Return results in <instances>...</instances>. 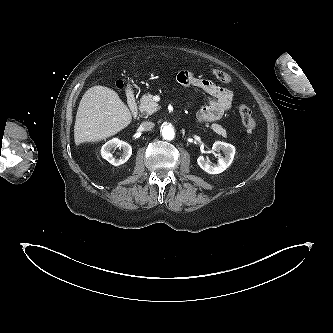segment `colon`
Listing matches in <instances>:
<instances>
[{
  "mask_svg": "<svg viewBox=\"0 0 333 333\" xmlns=\"http://www.w3.org/2000/svg\"><path fill=\"white\" fill-rule=\"evenodd\" d=\"M213 74L219 81H221L223 83L231 82V76L225 71L214 70ZM121 87L122 86L119 85V88H121ZM238 109H239V114H240L244 127L246 128V130L249 133H254L257 129V123L252 116L251 109L245 104H240Z\"/></svg>",
  "mask_w": 333,
  "mask_h": 333,
  "instance_id": "1",
  "label": "colon"
}]
</instances>
